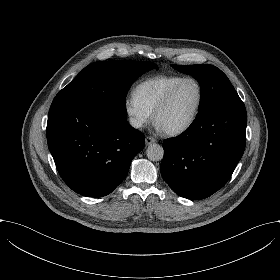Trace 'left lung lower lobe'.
Here are the masks:
<instances>
[{
    "label": "left lung lower lobe",
    "mask_w": 280,
    "mask_h": 280,
    "mask_svg": "<svg viewBox=\"0 0 280 280\" xmlns=\"http://www.w3.org/2000/svg\"><path fill=\"white\" fill-rule=\"evenodd\" d=\"M246 125L240 98L198 114L185 132L163 142L164 181L179 196L193 200L218 191L243 155Z\"/></svg>",
    "instance_id": "obj_1"
}]
</instances>
